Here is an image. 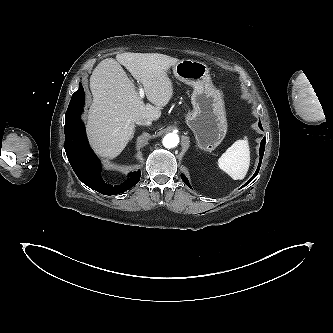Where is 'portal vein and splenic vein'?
<instances>
[{
    "mask_svg": "<svg viewBox=\"0 0 333 333\" xmlns=\"http://www.w3.org/2000/svg\"><path fill=\"white\" fill-rule=\"evenodd\" d=\"M139 96L140 98H144V89L142 87L139 88Z\"/></svg>",
    "mask_w": 333,
    "mask_h": 333,
    "instance_id": "obj_1",
    "label": "portal vein and splenic vein"
}]
</instances>
